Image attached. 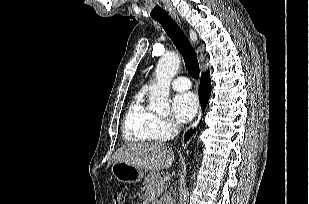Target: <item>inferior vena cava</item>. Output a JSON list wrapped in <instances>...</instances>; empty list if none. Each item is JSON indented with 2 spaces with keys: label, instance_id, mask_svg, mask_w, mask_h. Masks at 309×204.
<instances>
[{
  "label": "inferior vena cava",
  "instance_id": "602c4592",
  "mask_svg": "<svg viewBox=\"0 0 309 204\" xmlns=\"http://www.w3.org/2000/svg\"><path fill=\"white\" fill-rule=\"evenodd\" d=\"M180 128H181L180 125H176V130H175L176 133H178L180 131ZM171 204H173V203H171Z\"/></svg>",
  "mask_w": 309,
  "mask_h": 204
}]
</instances>
